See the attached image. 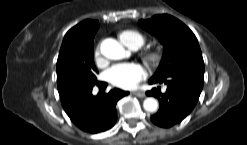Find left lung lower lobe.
<instances>
[{
    "label": "left lung lower lobe",
    "instance_id": "0a47b994",
    "mask_svg": "<svg viewBox=\"0 0 247 145\" xmlns=\"http://www.w3.org/2000/svg\"><path fill=\"white\" fill-rule=\"evenodd\" d=\"M149 83L167 85L165 93H161L160 88L146 92L160 102L159 111L151 117L152 122L167 128L181 122L193 110L203 88V77L178 73L159 80L150 79Z\"/></svg>",
    "mask_w": 247,
    "mask_h": 145
}]
</instances>
